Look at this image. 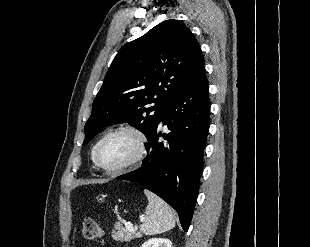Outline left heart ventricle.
I'll use <instances>...</instances> for the list:
<instances>
[{
	"label": "left heart ventricle",
	"mask_w": 310,
	"mask_h": 247,
	"mask_svg": "<svg viewBox=\"0 0 310 247\" xmlns=\"http://www.w3.org/2000/svg\"><path fill=\"white\" fill-rule=\"evenodd\" d=\"M136 148L134 136L129 133H118L104 142L98 158L105 167H117L130 160L134 156Z\"/></svg>",
	"instance_id": "b2bd125f"
}]
</instances>
